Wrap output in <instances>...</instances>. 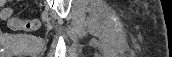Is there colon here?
<instances>
[{
	"mask_svg": "<svg viewBox=\"0 0 172 57\" xmlns=\"http://www.w3.org/2000/svg\"><path fill=\"white\" fill-rule=\"evenodd\" d=\"M0 16L8 21V25L12 29L37 30L41 27V22L37 19L23 22L19 18L14 17L11 8H3Z\"/></svg>",
	"mask_w": 172,
	"mask_h": 57,
	"instance_id": "colon-1",
	"label": "colon"
}]
</instances>
